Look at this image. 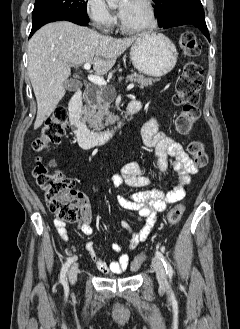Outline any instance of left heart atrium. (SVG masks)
Masks as SVG:
<instances>
[{
  "mask_svg": "<svg viewBox=\"0 0 240 329\" xmlns=\"http://www.w3.org/2000/svg\"><path fill=\"white\" fill-rule=\"evenodd\" d=\"M120 16L122 17L124 15V10H120Z\"/></svg>",
  "mask_w": 240,
  "mask_h": 329,
  "instance_id": "39dd6f15",
  "label": "left heart atrium"
}]
</instances>
